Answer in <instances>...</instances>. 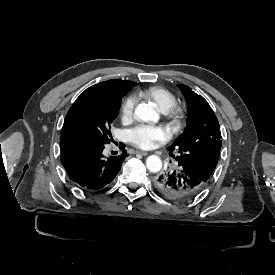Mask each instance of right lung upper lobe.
<instances>
[{"instance_id": "right-lung-upper-lobe-1", "label": "right lung upper lobe", "mask_w": 275, "mask_h": 275, "mask_svg": "<svg viewBox=\"0 0 275 275\" xmlns=\"http://www.w3.org/2000/svg\"><path fill=\"white\" fill-rule=\"evenodd\" d=\"M135 85V82L128 80L112 79L100 82L82 92L73 105L95 99L122 98Z\"/></svg>"}]
</instances>
